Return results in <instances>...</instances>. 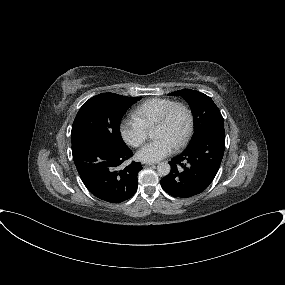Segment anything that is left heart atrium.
I'll list each match as a JSON object with an SVG mask.
<instances>
[{"label":"left heart atrium","mask_w":285,"mask_h":285,"mask_svg":"<svg viewBox=\"0 0 285 285\" xmlns=\"http://www.w3.org/2000/svg\"><path fill=\"white\" fill-rule=\"evenodd\" d=\"M175 149V145L167 137H158L144 145L137 153L140 161L153 163L160 161L170 155Z\"/></svg>","instance_id":"obj_1"}]
</instances>
